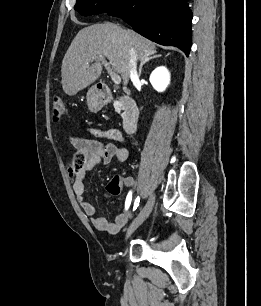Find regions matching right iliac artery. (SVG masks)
<instances>
[{"mask_svg": "<svg viewBox=\"0 0 261 306\" xmlns=\"http://www.w3.org/2000/svg\"><path fill=\"white\" fill-rule=\"evenodd\" d=\"M131 199H132V195H131V192H129V194L127 195V198H126V202H125V206L126 208L129 207L130 203H131ZM139 202H140V196H137L135 202H134V206H133V211H135L139 205Z\"/></svg>", "mask_w": 261, "mask_h": 306, "instance_id": "1", "label": "right iliac artery"}]
</instances>
